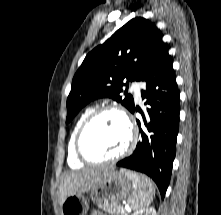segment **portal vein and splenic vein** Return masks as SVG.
Here are the masks:
<instances>
[{"label":"portal vein and splenic vein","mask_w":221,"mask_h":215,"mask_svg":"<svg viewBox=\"0 0 221 215\" xmlns=\"http://www.w3.org/2000/svg\"><path fill=\"white\" fill-rule=\"evenodd\" d=\"M128 210V207L125 206V209L122 211V213L126 212Z\"/></svg>","instance_id":"portal-vein-and-splenic-vein-1"}]
</instances>
